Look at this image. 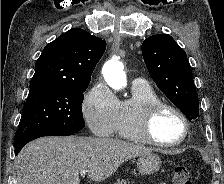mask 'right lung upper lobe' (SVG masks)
<instances>
[{"mask_svg": "<svg viewBox=\"0 0 224 184\" xmlns=\"http://www.w3.org/2000/svg\"><path fill=\"white\" fill-rule=\"evenodd\" d=\"M106 49V41L72 28L47 44L35 64L30 88L87 85Z\"/></svg>", "mask_w": 224, "mask_h": 184, "instance_id": "obj_1", "label": "right lung upper lobe"}]
</instances>
